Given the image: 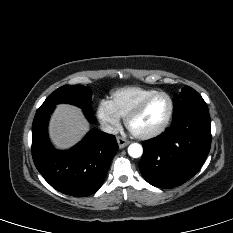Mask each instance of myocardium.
<instances>
[{
    "label": "myocardium",
    "instance_id": "myocardium-1",
    "mask_svg": "<svg viewBox=\"0 0 233 233\" xmlns=\"http://www.w3.org/2000/svg\"><path fill=\"white\" fill-rule=\"evenodd\" d=\"M157 96H165L169 101V112H168L167 117H166L165 121L163 122V124L159 128H157L156 130L151 131V132H147V133H137V132L133 131L132 128H131L132 120L135 117H137L145 109V107L149 104V102L152 101ZM173 114H174V101H173V98L168 93H166L164 91H157V92L152 93L151 95L145 97L142 101H140L129 112V114L125 118V124H126V127L128 128V130L135 137H137L139 139H143V140L152 139V138H155V137L161 135L162 133H164L166 131V129L169 127V125L171 123Z\"/></svg>",
    "mask_w": 233,
    "mask_h": 233
}]
</instances>
